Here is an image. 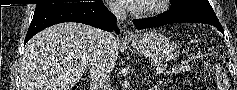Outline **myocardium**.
<instances>
[{"instance_id": "myocardium-1", "label": "myocardium", "mask_w": 237, "mask_h": 90, "mask_svg": "<svg viewBox=\"0 0 237 90\" xmlns=\"http://www.w3.org/2000/svg\"><path fill=\"white\" fill-rule=\"evenodd\" d=\"M158 3H166V0H157V3L147 2L139 7H133L130 10L140 19L145 20L148 16L159 14L163 11V7Z\"/></svg>"}]
</instances>
